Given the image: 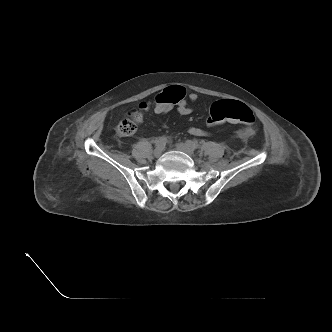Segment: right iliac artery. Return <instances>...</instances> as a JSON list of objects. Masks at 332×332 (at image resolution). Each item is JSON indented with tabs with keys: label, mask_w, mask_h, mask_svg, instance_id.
I'll return each mask as SVG.
<instances>
[{
	"label": "right iliac artery",
	"mask_w": 332,
	"mask_h": 332,
	"mask_svg": "<svg viewBox=\"0 0 332 332\" xmlns=\"http://www.w3.org/2000/svg\"><path fill=\"white\" fill-rule=\"evenodd\" d=\"M167 142V138L165 136L159 137L156 141H155V145L158 146H164Z\"/></svg>",
	"instance_id": "82829eb1"
}]
</instances>
